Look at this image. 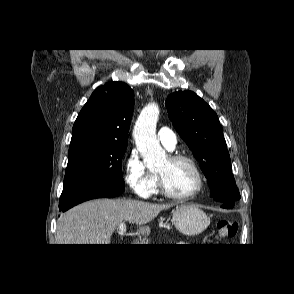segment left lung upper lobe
<instances>
[{
    "label": "left lung upper lobe",
    "instance_id": "5c2ea615",
    "mask_svg": "<svg viewBox=\"0 0 294 294\" xmlns=\"http://www.w3.org/2000/svg\"><path fill=\"white\" fill-rule=\"evenodd\" d=\"M173 126L192 150L205 174L211 197L239 200L231 160L217 114L192 91H178L166 99Z\"/></svg>",
    "mask_w": 294,
    "mask_h": 294
}]
</instances>
